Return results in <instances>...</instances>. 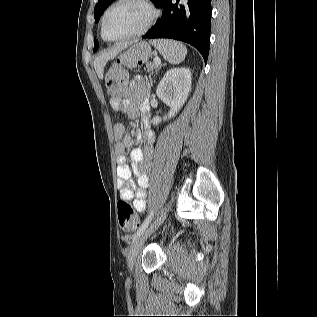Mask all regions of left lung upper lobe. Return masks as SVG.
Returning <instances> with one entry per match:
<instances>
[{"mask_svg": "<svg viewBox=\"0 0 317 317\" xmlns=\"http://www.w3.org/2000/svg\"><path fill=\"white\" fill-rule=\"evenodd\" d=\"M114 0H99L98 3L95 6L94 10V18L95 22L97 23L99 21V18L105 11V9L113 2ZM155 6L160 7L164 0H151ZM98 43L95 41L94 44V50H97Z\"/></svg>", "mask_w": 317, "mask_h": 317, "instance_id": "1", "label": "left lung upper lobe"}]
</instances>
